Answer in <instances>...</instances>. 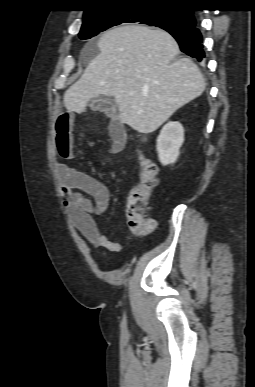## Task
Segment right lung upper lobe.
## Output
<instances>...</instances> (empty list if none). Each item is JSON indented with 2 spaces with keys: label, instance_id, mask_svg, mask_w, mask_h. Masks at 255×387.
<instances>
[{
  "label": "right lung upper lobe",
  "instance_id": "right-lung-upper-lobe-1",
  "mask_svg": "<svg viewBox=\"0 0 255 387\" xmlns=\"http://www.w3.org/2000/svg\"><path fill=\"white\" fill-rule=\"evenodd\" d=\"M88 8L84 10V16L119 7H132V6H145L156 7L160 5H168L171 7H186L191 4L192 0H87ZM182 10V9H181ZM187 24L190 23V19L185 17ZM162 27H168L166 25Z\"/></svg>",
  "mask_w": 255,
  "mask_h": 387
}]
</instances>
